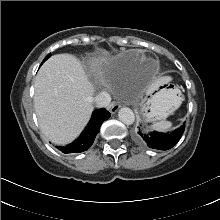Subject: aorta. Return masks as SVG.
Here are the masks:
<instances>
[{"label":"aorta","instance_id":"aorta-1","mask_svg":"<svg viewBox=\"0 0 220 220\" xmlns=\"http://www.w3.org/2000/svg\"><path fill=\"white\" fill-rule=\"evenodd\" d=\"M118 117L119 120L126 125H131L135 121L134 112L127 107H123L119 110Z\"/></svg>","mask_w":220,"mask_h":220}]
</instances>
